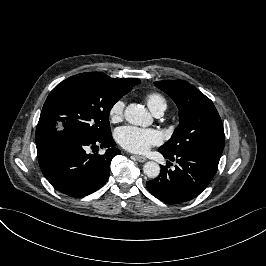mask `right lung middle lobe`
I'll list each match as a JSON object with an SVG mask.
<instances>
[{
    "mask_svg": "<svg viewBox=\"0 0 266 266\" xmlns=\"http://www.w3.org/2000/svg\"><path fill=\"white\" fill-rule=\"evenodd\" d=\"M139 82L92 72L69 77L46 99L37 125L36 143L60 131L90 139L110 135L111 108Z\"/></svg>",
    "mask_w": 266,
    "mask_h": 266,
    "instance_id": "right-lung-middle-lobe-1",
    "label": "right lung middle lobe"
}]
</instances>
